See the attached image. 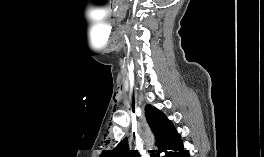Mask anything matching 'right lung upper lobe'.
I'll return each mask as SVG.
<instances>
[{"mask_svg": "<svg viewBox=\"0 0 264 157\" xmlns=\"http://www.w3.org/2000/svg\"><path fill=\"white\" fill-rule=\"evenodd\" d=\"M147 121L156 138V146L160 152H166L180 138L174 125L158 109L151 105L145 108ZM153 157V155H151ZM100 157H139L137 150H130L128 140L125 138L113 150L103 151Z\"/></svg>", "mask_w": 264, "mask_h": 157, "instance_id": "right-lung-upper-lobe-1", "label": "right lung upper lobe"}]
</instances>
